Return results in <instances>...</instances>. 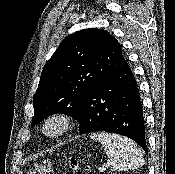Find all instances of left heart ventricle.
Segmentation results:
<instances>
[{
  "mask_svg": "<svg viewBox=\"0 0 175 174\" xmlns=\"http://www.w3.org/2000/svg\"><path fill=\"white\" fill-rule=\"evenodd\" d=\"M51 129L55 130L56 129V125H52Z\"/></svg>",
  "mask_w": 175,
  "mask_h": 174,
  "instance_id": "b2bd125f",
  "label": "left heart ventricle"
}]
</instances>
